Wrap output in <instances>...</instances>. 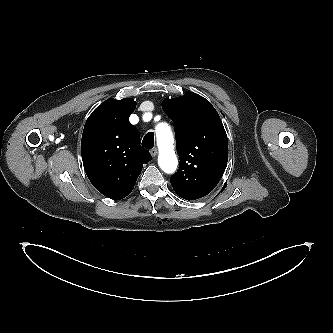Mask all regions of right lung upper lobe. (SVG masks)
<instances>
[{
    "mask_svg": "<svg viewBox=\"0 0 333 333\" xmlns=\"http://www.w3.org/2000/svg\"><path fill=\"white\" fill-rule=\"evenodd\" d=\"M136 102L131 98L108 99L87 119L81 153L93 186L108 198L120 200L134 188L143 164L151 160L140 146V134L129 122Z\"/></svg>",
    "mask_w": 333,
    "mask_h": 333,
    "instance_id": "1",
    "label": "right lung upper lobe"
}]
</instances>
